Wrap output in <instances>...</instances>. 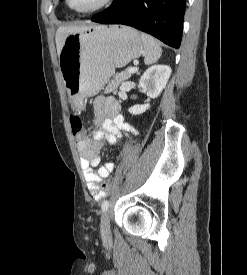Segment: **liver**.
Here are the masks:
<instances>
[{"mask_svg":"<svg viewBox=\"0 0 247 275\" xmlns=\"http://www.w3.org/2000/svg\"><path fill=\"white\" fill-rule=\"evenodd\" d=\"M94 28V26H65L59 27L56 31V47H57V54L58 57L60 55L61 49L63 47L65 38L74 33H81L88 31Z\"/></svg>","mask_w":247,"mask_h":275,"instance_id":"liver-1","label":"liver"}]
</instances>
